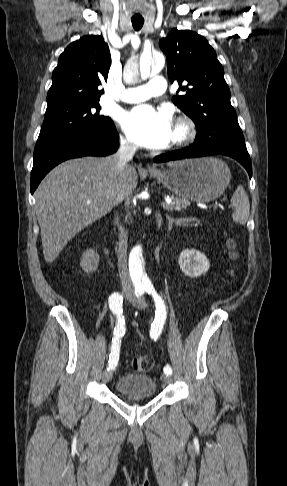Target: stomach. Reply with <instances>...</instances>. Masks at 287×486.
Segmentation results:
<instances>
[{
  "label": "stomach",
  "mask_w": 287,
  "mask_h": 486,
  "mask_svg": "<svg viewBox=\"0 0 287 486\" xmlns=\"http://www.w3.org/2000/svg\"><path fill=\"white\" fill-rule=\"evenodd\" d=\"M150 174L180 198L203 203L220 197L231 179L228 166L214 157L186 159Z\"/></svg>",
  "instance_id": "obj_1"
}]
</instances>
